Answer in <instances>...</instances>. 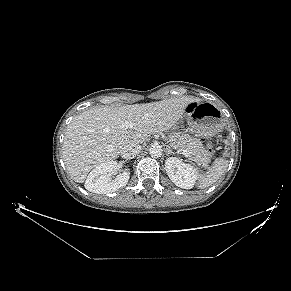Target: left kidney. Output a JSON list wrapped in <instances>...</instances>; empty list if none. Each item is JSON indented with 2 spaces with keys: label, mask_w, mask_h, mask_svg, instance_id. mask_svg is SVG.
Segmentation results:
<instances>
[{
  "label": "left kidney",
  "mask_w": 291,
  "mask_h": 291,
  "mask_svg": "<svg viewBox=\"0 0 291 291\" xmlns=\"http://www.w3.org/2000/svg\"><path fill=\"white\" fill-rule=\"evenodd\" d=\"M165 169L170 180L180 188L191 189L196 183L197 169L176 157L167 158Z\"/></svg>",
  "instance_id": "5707ae66"
}]
</instances>
